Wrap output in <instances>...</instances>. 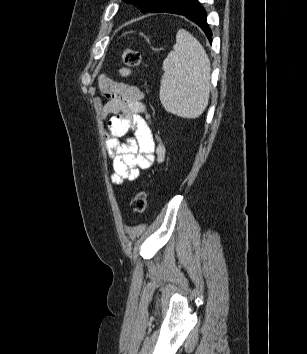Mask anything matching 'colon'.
<instances>
[{"mask_svg": "<svg viewBox=\"0 0 307 354\" xmlns=\"http://www.w3.org/2000/svg\"><path fill=\"white\" fill-rule=\"evenodd\" d=\"M121 59L123 63L132 68H137L140 65V53L130 47H123L121 51ZM132 209L137 213H143L147 207V194L143 190L137 191L131 201Z\"/></svg>", "mask_w": 307, "mask_h": 354, "instance_id": "1", "label": "colon"}]
</instances>
